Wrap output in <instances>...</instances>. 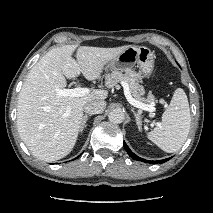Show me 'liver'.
I'll return each mask as SVG.
<instances>
[{
    "instance_id": "1",
    "label": "liver",
    "mask_w": 213,
    "mask_h": 213,
    "mask_svg": "<svg viewBox=\"0 0 213 213\" xmlns=\"http://www.w3.org/2000/svg\"><path fill=\"white\" fill-rule=\"evenodd\" d=\"M131 45L100 48L65 45L50 50L29 71L18 97L17 128L33 156L46 162L59 160L75 146L83 108L104 101L107 90L95 89L83 97L58 96L67 79L83 74L87 80L101 77L104 66ZM77 48L76 58L72 54Z\"/></svg>"
}]
</instances>
